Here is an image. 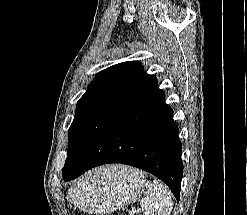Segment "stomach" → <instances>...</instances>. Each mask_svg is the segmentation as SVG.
<instances>
[{
	"label": "stomach",
	"instance_id": "obj_1",
	"mask_svg": "<svg viewBox=\"0 0 247 215\" xmlns=\"http://www.w3.org/2000/svg\"><path fill=\"white\" fill-rule=\"evenodd\" d=\"M120 165L96 169L73 186L68 199L78 208L104 215L137 200L144 188V177L132 168ZM114 174L113 177L110 174Z\"/></svg>",
	"mask_w": 247,
	"mask_h": 215
}]
</instances>
